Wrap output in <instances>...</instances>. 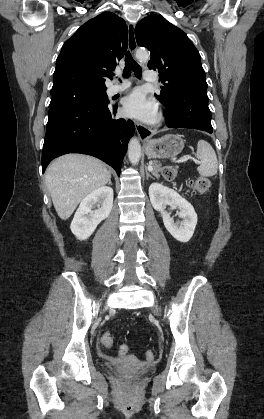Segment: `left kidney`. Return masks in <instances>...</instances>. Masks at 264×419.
Listing matches in <instances>:
<instances>
[{"label": "left kidney", "mask_w": 264, "mask_h": 419, "mask_svg": "<svg viewBox=\"0 0 264 419\" xmlns=\"http://www.w3.org/2000/svg\"><path fill=\"white\" fill-rule=\"evenodd\" d=\"M149 197L153 208L160 212L168 232L176 240L188 242L193 236L197 224V214L193 206L175 190L160 183H152L149 186ZM167 205L180 209L177 214L183 219L180 224L175 223L170 214L166 212Z\"/></svg>", "instance_id": "obj_1"}]
</instances>
